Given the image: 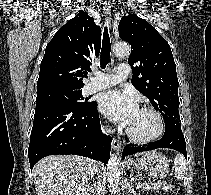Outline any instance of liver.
I'll use <instances>...</instances> for the list:
<instances>
[{
    "instance_id": "1",
    "label": "liver",
    "mask_w": 211,
    "mask_h": 195,
    "mask_svg": "<svg viewBox=\"0 0 211 195\" xmlns=\"http://www.w3.org/2000/svg\"><path fill=\"white\" fill-rule=\"evenodd\" d=\"M91 163L77 155H51L41 159L33 169L37 195H85Z\"/></svg>"
}]
</instances>
